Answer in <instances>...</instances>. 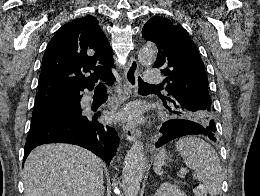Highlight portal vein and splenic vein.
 I'll return each mask as SVG.
<instances>
[{
	"label": "portal vein and splenic vein",
	"instance_id": "18ae733b",
	"mask_svg": "<svg viewBox=\"0 0 260 196\" xmlns=\"http://www.w3.org/2000/svg\"><path fill=\"white\" fill-rule=\"evenodd\" d=\"M187 172H188L187 168H182V170H180V174H182V176H185Z\"/></svg>",
	"mask_w": 260,
	"mask_h": 196
}]
</instances>
